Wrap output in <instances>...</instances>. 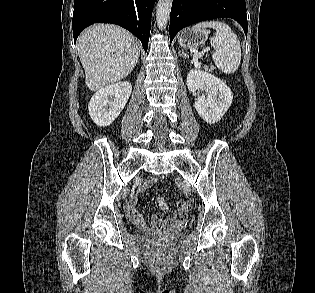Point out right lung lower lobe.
Returning <instances> with one entry per match:
<instances>
[{"label":"right lung lower lobe","mask_w":315,"mask_h":293,"mask_svg":"<svg viewBox=\"0 0 315 293\" xmlns=\"http://www.w3.org/2000/svg\"><path fill=\"white\" fill-rule=\"evenodd\" d=\"M155 0H75L73 36L94 23L120 25L140 39L147 51Z\"/></svg>","instance_id":"right-lung-lower-lobe-1"}]
</instances>
